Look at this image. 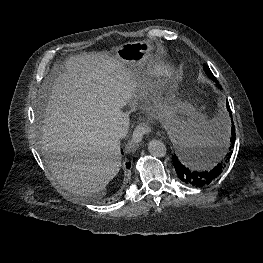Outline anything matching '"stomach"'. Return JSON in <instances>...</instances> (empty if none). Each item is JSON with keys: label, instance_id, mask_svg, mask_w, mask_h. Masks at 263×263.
I'll return each instance as SVG.
<instances>
[{"label": "stomach", "instance_id": "1", "mask_svg": "<svg viewBox=\"0 0 263 263\" xmlns=\"http://www.w3.org/2000/svg\"><path fill=\"white\" fill-rule=\"evenodd\" d=\"M152 51V46L147 41H137L128 42L118 46L115 49V55L134 67H140L147 62L150 53ZM158 114L161 118L166 121V124L170 129H175L178 125V121L175 117L176 109L167 103L158 104L157 106ZM191 162L196 163V157H193Z\"/></svg>", "mask_w": 263, "mask_h": 263}]
</instances>
